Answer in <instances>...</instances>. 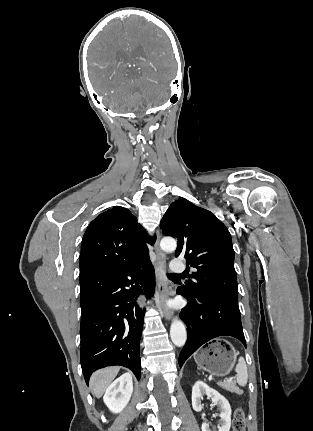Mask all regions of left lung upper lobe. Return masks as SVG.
Segmentation results:
<instances>
[{
  "instance_id": "obj_1",
  "label": "left lung upper lobe",
  "mask_w": 313,
  "mask_h": 431,
  "mask_svg": "<svg viewBox=\"0 0 313 431\" xmlns=\"http://www.w3.org/2000/svg\"><path fill=\"white\" fill-rule=\"evenodd\" d=\"M163 234L178 240L175 256L196 268L181 290L188 297L221 296L238 300L234 250L226 226L210 211L186 199L173 202L163 216Z\"/></svg>"
}]
</instances>
